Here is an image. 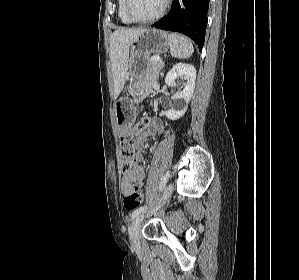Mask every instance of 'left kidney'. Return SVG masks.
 I'll return each mask as SVG.
<instances>
[{"instance_id":"5707ae66","label":"left kidney","mask_w":299,"mask_h":280,"mask_svg":"<svg viewBox=\"0 0 299 280\" xmlns=\"http://www.w3.org/2000/svg\"><path fill=\"white\" fill-rule=\"evenodd\" d=\"M182 78L186 82L183 90H178L172 97L171 109L162 111V114L168 119L177 120L182 117L188 107V103L193 95L196 80V69L193 65L186 63H177L167 73L165 83L174 85L175 79Z\"/></svg>"}]
</instances>
